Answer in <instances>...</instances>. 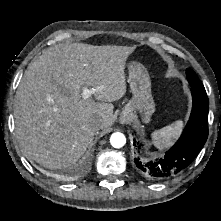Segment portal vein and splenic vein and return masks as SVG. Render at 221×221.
Listing matches in <instances>:
<instances>
[{
	"label": "portal vein and splenic vein",
	"mask_w": 221,
	"mask_h": 221,
	"mask_svg": "<svg viewBox=\"0 0 221 221\" xmlns=\"http://www.w3.org/2000/svg\"><path fill=\"white\" fill-rule=\"evenodd\" d=\"M102 87H99L97 89H88V88H84L83 89V99H88L91 97L92 94H94L96 91L100 90Z\"/></svg>",
	"instance_id": "18ae733b"
}]
</instances>
